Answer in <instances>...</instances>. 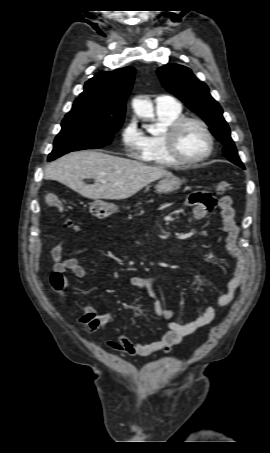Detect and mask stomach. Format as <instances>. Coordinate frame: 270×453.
I'll return each mask as SVG.
<instances>
[{"instance_id": "1", "label": "stomach", "mask_w": 270, "mask_h": 453, "mask_svg": "<svg viewBox=\"0 0 270 453\" xmlns=\"http://www.w3.org/2000/svg\"><path fill=\"white\" fill-rule=\"evenodd\" d=\"M184 183L183 179H180L176 176H167L164 177L157 185L156 190L159 193H168L175 191L180 188ZM92 216L98 219H104L118 211V207L115 204L107 203L101 200H95L91 203L89 208Z\"/></svg>"}]
</instances>
